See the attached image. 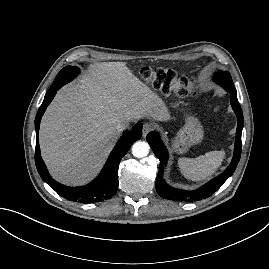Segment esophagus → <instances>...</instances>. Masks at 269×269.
<instances>
[{"label":"esophagus","mask_w":269,"mask_h":269,"mask_svg":"<svg viewBox=\"0 0 269 269\" xmlns=\"http://www.w3.org/2000/svg\"><path fill=\"white\" fill-rule=\"evenodd\" d=\"M152 130H153V126L150 125L149 123H145V124L143 125V130H142L143 137H146L147 134H148L149 132H151Z\"/></svg>","instance_id":"34e87169"}]
</instances>
